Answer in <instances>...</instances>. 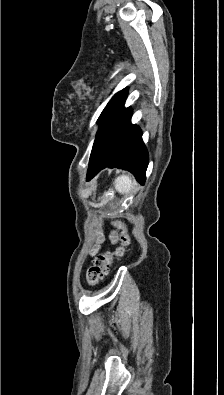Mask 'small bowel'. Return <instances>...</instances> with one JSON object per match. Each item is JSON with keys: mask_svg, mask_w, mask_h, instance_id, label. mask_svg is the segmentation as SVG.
Here are the masks:
<instances>
[{"mask_svg": "<svg viewBox=\"0 0 224 395\" xmlns=\"http://www.w3.org/2000/svg\"><path fill=\"white\" fill-rule=\"evenodd\" d=\"M96 240H97V245L92 249L93 254L97 251L98 244L101 242V236L98 235Z\"/></svg>", "mask_w": 224, "mask_h": 395, "instance_id": "1", "label": "small bowel"}]
</instances>
